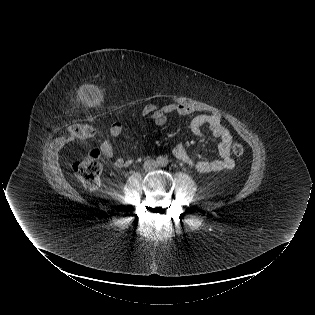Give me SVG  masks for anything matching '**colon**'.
I'll return each instance as SVG.
<instances>
[{"label": "colon", "mask_w": 315, "mask_h": 315, "mask_svg": "<svg viewBox=\"0 0 315 315\" xmlns=\"http://www.w3.org/2000/svg\"><path fill=\"white\" fill-rule=\"evenodd\" d=\"M71 133L80 140L90 139L95 135L93 129L84 125L74 126ZM232 152L239 158L243 156L244 148L241 144L235 143L232 146ZM99 158L100 150L92 148L74 163V171L78 180L90 192L96 191L100 186L102 166Z\"/></svg>", "instance_id": "1"}]
</instances>
